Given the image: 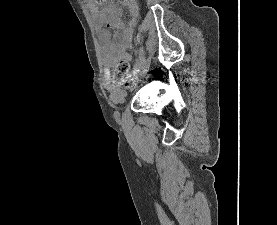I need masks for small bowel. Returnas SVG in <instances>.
<instances>
[{"label":"small bowel","instance_id":"small-bowel-1","mask_svg":"<svg viewBox=\"0 0 277 225\" xmlns=\"http://www.w3.org/2000/svg\"><path fill=\"white\" fill-rule=\"evenodd\" d=\"M122 4L128 9L131 18L128 24L122 20L120 8L110 1L98 0L89 4L107 65L104 86L111 98L116 101L123 97L124 91L115 83L111 69L116 61L130 59L127 48L131 40L133 21L138 13L137 0H122Z\"/></svg>","mask_w":277,"mask_h":225}]
</instances>
